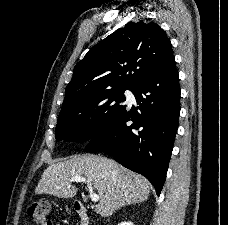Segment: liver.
Instances as JSON below:
<instances>
[{
  "label": "liver",
  "mask_w": 228,
  "mask_h": 225,
  "mask_svg": "<svg viewBox=\"0 0 228 225\" xmlns=\"http://www.w3.org/2000/svg\"><path fill=\"white\" fill-rule=\"evenodd\" d=\"M72 177H84L97 191L100 201L96 213L111 217L123 205L143 203L150 195L147 179L124 169L112 159L97 155H77L70 161L53 163L47 167L35 189L36 195H53L58 199H72L77 193Z\"/></svg>",
  "instance_id": "obj_1"
}]
</instances>
